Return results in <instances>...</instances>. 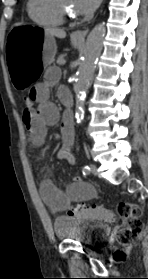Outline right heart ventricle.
Returning <instances> with one entry per match:
<instances>
[{"mask_svg":"<svg viewBox=\"0 0 148 279\" xmlns=\"http://www.w3.org/2000/svg\"><path fill=\"white\" fill-rule=\"evenodd\" d=\"M27 13L33 22L41 26L52 27L63 23L51 0H27Z\"/></svg>","mask_w":148,"mask_h":279,"instance_id":"1","label":"right heart ventricle"}]
</instances>
